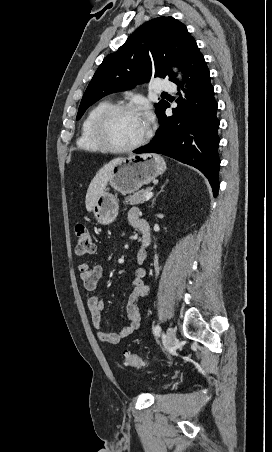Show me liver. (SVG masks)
I'll return each mask as SVG.
<instances>
[{
	"label": "liver",
	"mask_w": 272,
	"mask_h": 452,
	"mask_svg": "<svg viewBox=\"0 0 272 452\" xmlns=\"http://www.w3.org/2000/svg\"><path fill=\"white\" fill-rule=\"evenodd\" d=\"M121 159L122 158H116L110 161L108 164L104 165L91 181L86 193L85 200L87 211H92L97 198L103 193L106 188L112 169Z\"/></svg>",
	"instance_id": "1"
}]
</instances>
